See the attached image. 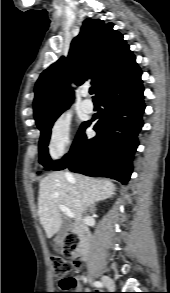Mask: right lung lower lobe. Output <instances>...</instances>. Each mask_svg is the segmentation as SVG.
<instances>
[{
	"mask_svg": "<svg viewBox=\"0 0 170 293\" xmlns=\"http://www.w3.org/2000/svg\"><path fill=\"white\" fill-rule=\"evenodd\" d=\"M104 107L92 120L84 122L72 145L53 170L68 167L92 177H109L126 184L132 173V158L138 146L137 134L143 126V87L138 66L122 77L108 82L98 92ZM98 118L87 138L85 128Z\"/></svg>",
	"mask_w": 170,
	"mask_h": 293,
	"instance_id": "1",
	"label": "right lung lower lobe"
}]
</instances>
